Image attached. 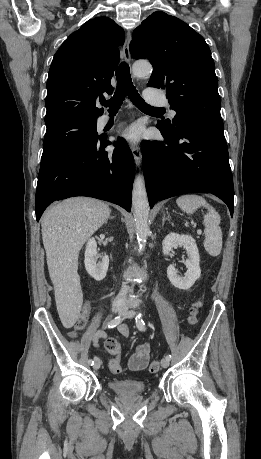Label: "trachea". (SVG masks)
I'll list each match as a JSON object with an SVG mask.
<instances>
[{"mask_svg": "<svg viewBox=\"0 0 261 459\" xmlns=\"http://www.w3.org/2000/svg\"><path fill=\"white\" fill-rule=\"evenodd\" d=\"M117 88L114 93V96L106 101L105 99L101 101V104L105 107H109V110H118L120 105L124 101L125 97L128 96L131 102L138 107L140 110L146 111H160V108L152 107L148 105L139 95L135 86L133 85L129 65L126 62H122L117 71Z\"/></svg>", "mask_w": 261, "mask_h": 459, "instance_id": "3493384b", "label": "trachea"}]
</instances>
